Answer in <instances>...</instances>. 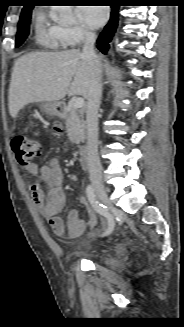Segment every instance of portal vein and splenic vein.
<instances>
[{"mask_svg": "<svg viewBox=\"0 0 184 327\" xmlns=\"http://www.w3.org/2000/svg\"><path fill=\"white\" fill-rule=\"evenodd\" d=\"M84 106V99L83 98H77L75 99L73 103V107L76 109L82 108Z\"/></svg>", "mask_w": 184, "mask_h": 327, "instance_id": "1", "label": "portal vein and splenic vein"}]
</instances>
